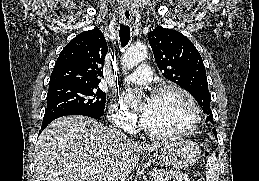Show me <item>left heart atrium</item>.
Wrapping results in <instances>:
<instances>
[{
    "label": "left heart atrium",
    "mask_w": 259,
    "mask_h": 181,
    "mask_svg": "<svg viewBox=\"0 0 259 181\" xmlns=\"http://www.w3.org/2000/svg\"><path fill=\"white\" fill-rule=\"evenodd\" d=\"M130 100H131V96H130V95L125 96V102H129ZM148 101H149V99H147V100L145 101V104H147Z\"/></svg>",
    "instance_id": "left-heart-atrium-1"
}]
</instances>
